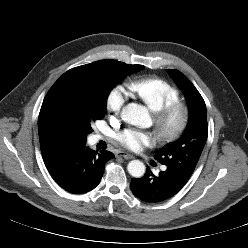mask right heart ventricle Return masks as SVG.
<instances>
[{"label": "right heart ventricle", "instance_id": "1", "mask_svg": "<svg viewBox=\"0 0 248 248\" xmlns=\"http://www.w3.org/2000/svg\"><path fill=\"white\" fill-rule=\"evenodd\" d=\"M128 87L132 94L142 100L153 112L180 99L177 87L157 77L137 79L132 81Z\"/></svg>", "mask_w": 248, "mask_h": 248}]
</instances>
